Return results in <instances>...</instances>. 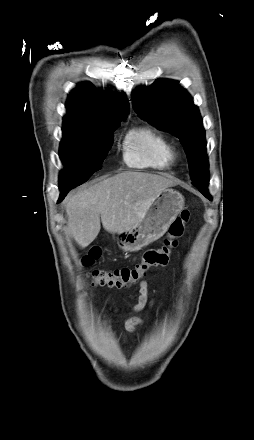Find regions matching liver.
Returning <instances> with one entry per match:
<instances>
[{
    "label": "liver",
    "instance_id": "liver-1",
    "mask_svg": "<svg viewBox=\"0 0 254 440\" xmlns=\"http://www.w3.org/2000/svg\"><path fill=\"white\" fill-rule=\"evenodd\" d=\"M173 181L150 173L125 171L94 184L66 201L68 230L85 248L100 232L121 233L144 217L153 199Z\"/></svg>",
    "mask_w": 254,
    "mask_h": 440
}]
</instances>
